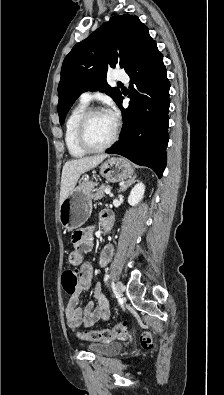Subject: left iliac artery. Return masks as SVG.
<instances>
[{
  "label": "left iliac artery",
  "instance_id": "left-iliac-artery-1",
  "mask_svg": "<svg viewBox=\"0 0 224 395\" xmlns=\"http://www.w3.org/2000/svg\"><path fill=\"white\" fill-rule=\"evenodd\" d=\"M109 278H110V275H106L105 278H104L105 282H106Z\"/></svg>",
  "mask_w": 224,
  "mask_h": 395
}]
</instances>
